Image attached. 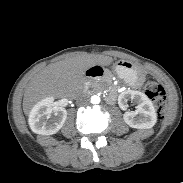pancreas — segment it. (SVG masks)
Wrapping results in <instances>:
<instances>
[{"label": "pancreas", "instance_id": "pancreas-1", "mask_svg": "<svg viewBox=\"0 0 183 183\" xmlns=\"http://www.w3.org/2000/svg\"><path fill=\"white\" fill-rule=\"evenodd\" d=\"M92 87H94V88L98 87V82L97 81L93 82Z\"/></svg>", "mask_w": 183, "mask_h": 183}]
</instances>
